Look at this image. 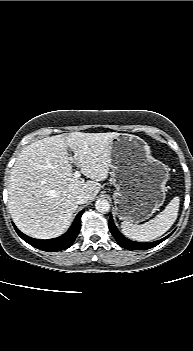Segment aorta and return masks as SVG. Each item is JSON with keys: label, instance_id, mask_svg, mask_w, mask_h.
Returning <instances> with one entry per match:
<instances>
[{"label": "aorta", "instance_id": "aorta-1", "mask_svg": "<svg viewBox=\"0 0 193 351\" xmlns=\"http://www.w3.org/2000/svg\"><path fill=\"white\" fill-rule=\"evenodd\" d=\"M95 208L100 213H107L110 210V204L106 199H98L95 203Z\"/></svg>", "mask_w": 193, "mask_h": 351}]
</instances>
